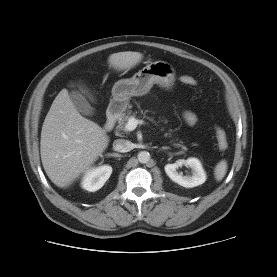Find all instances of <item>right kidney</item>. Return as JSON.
Masks as SVG:
<instances>
[{
    "mask_svg": "<svg viewBox=\"0 0 277 277\" xmlns=\"http://www.w3.org/2000/svg\"><path fill=\"white\" fill-rule=\"evenodd\" d=\"M111 173L112 167L109 165L90 169L83 177L82 188L90 192L99 190L109 179Z\"/></svg>",
    "mask_w": 277,
    "mask_h": 277,
    "instance_id": "obj_1",
    "label": "right kidney"
}]
</instances>
